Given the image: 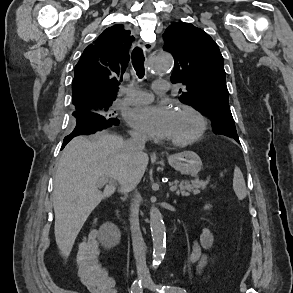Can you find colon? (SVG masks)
Masks as SVG:
<instances>
[{"label": "colon", "mask_w": 293, "mask_h": 293, "mask_svg": "<svg viewBox=\"0 0 293 293\" xmlns=\"http://www.w3.org/2000/svg\"><path fill=\"white\" fill-rule=\"evenodd\" d=\"M99 255L95 234L89 232L80 245L78 274L91 293H111V282L106 270L99 263Z\"/></svg>", "instance_id": "colon-1"}]
</instances>
